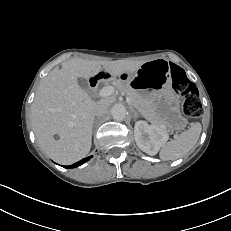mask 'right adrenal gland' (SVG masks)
<instances>
[{
  "mask_svg": "<svg viewBox=\"0 0 231 231\" xmlns=\"http://www.w3.org/2000/svg\"><path fill=\"white\" fill-rule=\"evenodd\" d=\"M96 124H97V121H94V127L96 126Z\"/></svg>",
  "mask_w": 231,
  "mask_h": 231,
  "instance_id": "1",
  "label": "right adrenal gland"
}]
</instances>
